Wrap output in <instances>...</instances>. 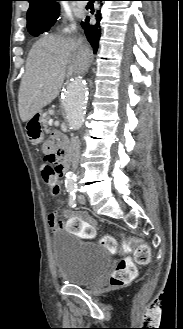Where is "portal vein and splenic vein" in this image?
<instances>
[{
	"label": "portal vein and splenic vein",
	"instance_id": "18ae733b",
	"mask_svg": "<svg viewBox=\"0 0 183 329\" xmlns=\"http://www.w3.org/2000/svg\"><path fill=\"white\" fill-rule=\"evenodd\" d=\"M52 123H53V119H50V120L48 121V124H49V125H52Z\"/></svg>",
	"mask_w": 183,
	"mask_h": 329
}]
</instances>
